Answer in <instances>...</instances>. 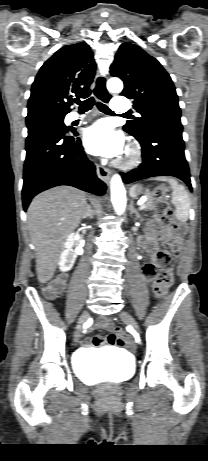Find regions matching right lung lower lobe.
<instances>
[{
  "label": "right lung lower lobe",
  "instance_id": "1",
  "mask_svg": "<svg viewBox=\"0 0 208 461\" xmlns=\"http://www.w3.org/2000/svg\"><path fill=\"white\" fill-rule=\"evenodd\" d=\"M77 133L47 128L28 136L23 173L22 199L26 211L38 193L59 185L103 195L106 185L86 157Z\"/></svg>",
  "mask_w": 208,
  "mask_h": 461
}]
</instances>
